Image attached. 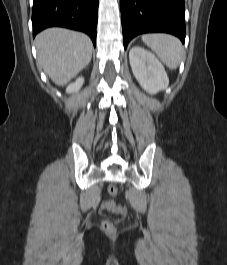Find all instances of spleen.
Wrapping results in <instances>:
<instances>
[{"label": "spleen", "mask_w": 227, "mask_h": 265, "mask_svg": "<svg viewBox=\"0 0 227 265\" xmlns=\"http://www.w3.org/2000/svg\"><path fill=\"white\" fill-rule=\"evenodd\" d=\"M142 40L169 69L178 67L184 53L178 38L169 34L157 33L143 35Z\"/></svg>", "instance_id": "3e777b00"}]
</instances>
